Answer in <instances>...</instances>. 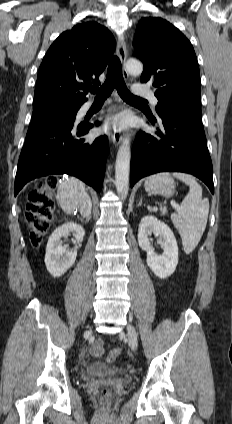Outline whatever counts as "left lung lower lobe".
<instances>
[{"label":"left lung lower lobe","mask_w":232,"mask_h":424,"mask_svg":"<svg viewBox=\"0 0 232 424\" xmlns=\"http://www.w3.org/2000/svg\"><path fill=\"white\" fill-rule=\"evenodd\" d=\"M163 131L156 136L140 132L134 141L130 165L131 187L142 177L178 171L201 179L214 193L213 168L202 125L201 104L174 100L156 107ZM154 123V121H151Z\"/></svg>","instance_id":"obj_1"}]
</instances>
